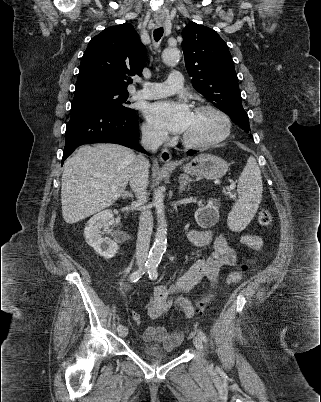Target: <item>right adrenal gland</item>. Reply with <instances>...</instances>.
Listing matches in <instances>:
<instances>
[{"mask_svg":"<svg viewBox=\"0 0 321 402\" xmlns=\"http://www.w3.org/2000/svg\"><path fill=\"white\" fill-rule=\"evenodd\" d=\"M133 194L131 192L124 191L122 194V198H133Z\"/></svg>","mask_w":321,"mask_h":402,"instance_id":"2a0ac1e0","label":"right adrenal gland"}]
</instances>
